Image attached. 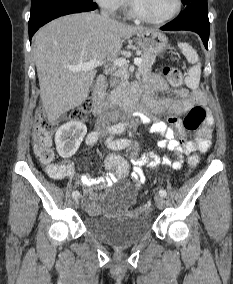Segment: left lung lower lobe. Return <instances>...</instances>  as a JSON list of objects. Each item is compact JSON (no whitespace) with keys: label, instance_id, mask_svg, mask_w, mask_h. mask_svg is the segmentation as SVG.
<instances>
[{"label":"left lung lower lobe","instance_id":"0a47b994","mask_svg":"<svg viewBox=\"0 0 233 284\" xmlns=\"http://www.w3.org/2000/svg\"><path fill=\"white\" fill-rule=\"evenodd\" d=\"M207 0H197L186 5L185 10L173 21L161 27L165 31L187 30L199 34L206 48L209 39Z\"/></svg>","mask_w":233,"mask_h":284}]
</instances>
